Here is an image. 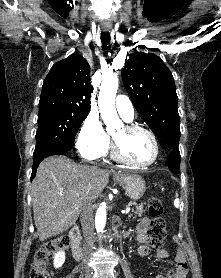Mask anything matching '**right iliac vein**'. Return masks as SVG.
<instances>
[{
	"instance_id": "obj_1",
	"label": "right iliac vein",
	"mask_w": 221,
	"mask_h": 278,
	"mask_svg": "<svg viewBox=\"0 0 221 278\" xmlns=\"http://www.w3.org/2000/svg\"><path fill=\"white\" fill-rule=\"evenodd\" d=\"M85 278H92V276L91 275H86Z\"/></svg>"
}]
</instances>
